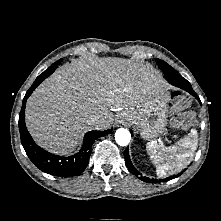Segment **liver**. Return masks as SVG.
<instances>
[{
	"label": "liver",
	"instance_id": "1",
	"mask_svg": "<svg viewBox=\"0 0 221 221\" xmlns=\"http://www.w3.org/2000/svg\"><path fill=\"white\" fill-rule=\"evenodd\" d=\"M167 91L149 65L118 58L86 56L58 68L30 96L26 125L34 140L52 153L67 155L97 116L98 129L113 123L115 109H127Z\"/></svg>",
	"mask_w": 221,
	"mask_h": 221
}]
</instances>
